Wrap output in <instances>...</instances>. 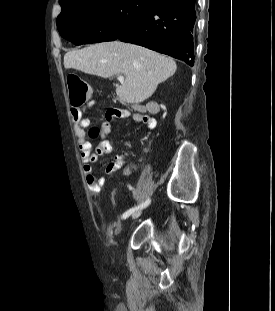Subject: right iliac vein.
I'll return each mask as SVG.
<instances>
[{"instance_id":"right-iliac-vein-1","label":"right iliac vein","mask_w":275,"mask_h":311,"mask_svg":"<svg viewBox=\"0 0 275 311\" xmlns=\"http://www.w3.org/2000/svg\"><path fill=\"white\" fill-rule=\"evenodd\" d=\"M142 213V209H138L136 210L133 214H132V219H137Z\"/></svg>"}]
</instances>
